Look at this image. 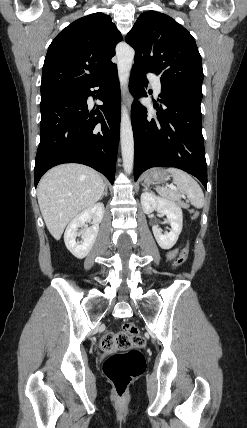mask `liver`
Listing matches in <instances>:
<instances>
[{
	"label": "liver",
	"mask_w": 247,
	"mask_h": 428,
	"mask_svg": "<svg viewBox=\"0 0 247 428\" xmlns=\"http://www.w3.org/2000/svg\"><path fill=\"white\" fill-rule=\"evenodd\" d=\"M104 186L99 173L85 165L63 164L49 170L38 184L37 198L50 234L59 240L67 224L101 198Z\"/></svg>",
	"instance_id": "6515ba94"
}]
</instances>
